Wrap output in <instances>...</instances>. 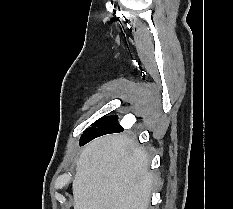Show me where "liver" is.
I'll return each mask as SVG.
<instances>
[{
    "label": "liver",
    "instance_id": "1",
    "mask_svg": "<svg viewBox=\"0 0 233 209\" xmlns=\"http://www.w3.org/2000/svg\"><path fill=\"white\" fill-rule=\"evenodd\" d=\"M153 176L133 138L112 134L82 150L73 179L74 209H148Z\"/></svg>",
    "mask_w": 233,
    "mask_h": 209
}]
</instances>
